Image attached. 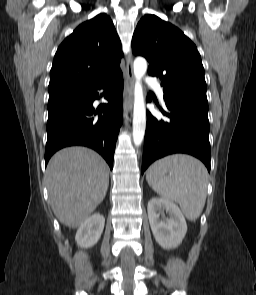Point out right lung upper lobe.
Wrapping results in <instances>:
<instances>
[{"instance_id": "cb5924a9", "label": "right lung upper lobe", "mask_w": 256, "mask_h": 295, "mask_svg": "<svg viewBox=\"0 0 256 295\" xmlns=\"http://www.w3.org/2000/svg\"><path fill=\"white\" fill-rule=\"evenodd\" d=\"M121 42L109 16L79 25L58 47L50 71L49 95L93 84L121 71Z\"/></svg>"}]
</instances>
